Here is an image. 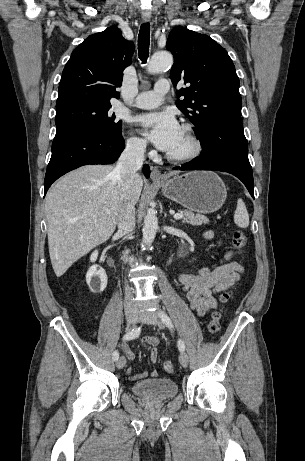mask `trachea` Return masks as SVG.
<instances>
[{
  "label": "trachea",
  "instance_id": "obj_1",
  "mask_svg": "<svg viewBox=\"0 0 305 461\" xmlns=\"http://www.w3.org/2000/svg\"><path fill=\"white\" fill-rule=\"evenodd\" d=\"M150 24L144 23L140 27L138 35V52L140 60L145 63L149 55Z\"/></svg>",
  "mask_w": 305,
  "mask_h": 461
}]
</instances>
